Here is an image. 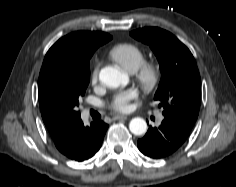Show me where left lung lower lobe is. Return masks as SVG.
<instances>
[{"label":"left lung lower lobe","mask_w":236,"mask_h":187,"mask_svg":"<svg viewBox=\"0 0 236 187\" xmlns=\"http://www.w3.org/2000/svg\"><path fill=\"white\" fill-rule=\"evenodd\" d=\"M191 129L178 121L165 117L158 128L149 127L138 140L139 150L146 156L160 159L175 152L190 135Z\"/></svg>","instance_id":"left-lung-lower-lobe-1"}]
</instances>
